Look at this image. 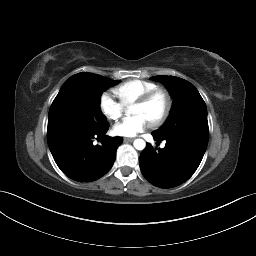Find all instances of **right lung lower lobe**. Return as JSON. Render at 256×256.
Masks as SVG:
<instances>
[{"mask_svg": "<svg viewBox=\"0 0 256 256\" xmlns=\"http://www.w3.org/2000/svg\"><path fill=\"white\" fill-rule=\"evenodd\" d=\"M108 126L86 131L76 126H48L47 140L53 158L61 171L78 182H90L105 175L113 166L121 137H108ZM103 137L102 145L93 138Z\"/></svg>", "mask_w": 256, "mask_h": 256, "instance_id": "1", "label": "right lung lower lobe"}]
</instances>
